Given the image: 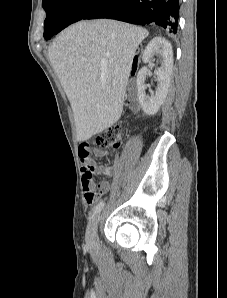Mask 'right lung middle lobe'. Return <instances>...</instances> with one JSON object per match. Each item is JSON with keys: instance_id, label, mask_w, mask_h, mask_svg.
Returning <instances> with one entry per match:
<instances>
[{"instance_id": "right-lung-middle-lobe-1", "label": "right lung middle lobe", "mask_w": 227, "mask_h": 298, "mask_svg": "<svg viewBox=\"0 0 227 298\" xmlns=\"http://www.w3.org/2000/svg\"><path fill=\"white\" fill-rule=\"evenodd\" d=\"M101 0H43L46 11L44 37L50 39L70 24L81 20Z\"/></svg>"}]
</instances>
